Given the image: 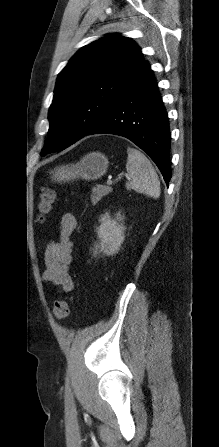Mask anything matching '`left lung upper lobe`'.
<instances>
[{"label": "left lung upper lobe", "instance_id": "1", "mask_svg": "<svg viewBox=\"0 0 219 447\" xmlns=\"http://www.w3.org/2000/svg\"><path fill=\"white\" fill-rule=\"evenodd\" d=\"M144 62L140 48L118 34L80 49L59 73L49 109L50 136L41 155L63 150L86 136Z\"/></svg>", "mask_w": 219, "mask_h": 447}]
</instances>
